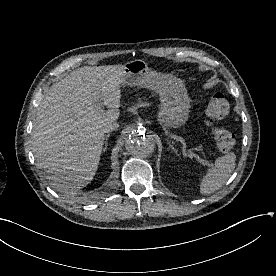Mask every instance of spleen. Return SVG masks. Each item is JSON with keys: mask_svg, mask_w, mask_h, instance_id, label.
<instances>
[{"mask_svg": "<svg viewBox=\"0 0 276 276\" xmlns=\"http://www.w3.org/2000/svg\"><path fill=\"white\" fill-rule=\"evenodd\" d=\"M236 156L228 153L218 157L209 168L200 183L201 194H211L220 189L235 169Z\"/></svg>", "mask_w": 276, "mask_h": 276, "instance_id": "3e777b00", "label": "spleen"}]
</instances>
